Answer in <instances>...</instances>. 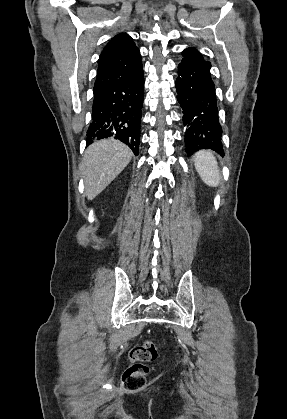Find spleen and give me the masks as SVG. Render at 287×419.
I'll return each mask as SVG.
<instances>
[{
  "label": "spleen",
  "mask_w": 287,
  "mask_h": 419,
  "mask_svg": "<svg viewBox=\"0 0 287 419\" xmlns=\"http://www.w3.org/2000/svg\"><path fill=\"white\" fill-rule=\"evenodd\" d=\"M195 168L205 184L216 187L220 183V170L213 153L201 150L194 158Z\"/></svg>",
  "instance_id": "obj_1"
}]
</instances>
